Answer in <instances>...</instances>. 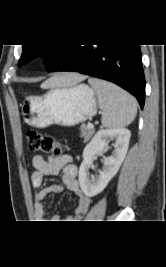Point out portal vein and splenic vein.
I'll return each mask as SVG.
<instances>
[{"label":"portal vein and splenic vein","instance_id":"18ae733b","mask_svg":"<svg viewBox=\"0 0 166 267\" xmlns=\"http://www.w3.org/2000/svg\"><path fill=\"white\" fill-rule=\"evenodd\" d=\"M87 127H88V128H93L94 125H93L92 123H88Z\"/></svg>","mask_w":166,"mask_h":267}]
</instances>
